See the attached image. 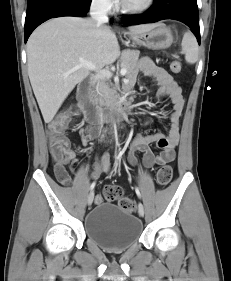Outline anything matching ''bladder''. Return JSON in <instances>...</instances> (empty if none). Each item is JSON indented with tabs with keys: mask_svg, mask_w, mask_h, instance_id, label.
<instances>
[{
	"mask_svg": "<svg viewBox=\"0 0 231 281\" xmlns=\"http://www.w3.org/2000/svg\"><path fill=\"white\" fill-rule=\"evenodd\" d=\"M87 237L105 250L124 251L141 237L142 222L112 203H101L85 217Z\"/></svg>",
	"mask_w": 231,
	"mask_h": 281,
	"instance_id": "bladder-1",
	"label": "bladder"
}]
</instances>
